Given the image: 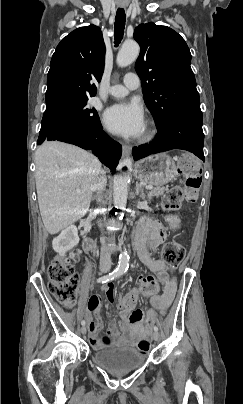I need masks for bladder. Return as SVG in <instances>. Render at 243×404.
I'll use <instances>...</instances> for the list:
<instances>
[{
    "mask_svg": "<svg viewBox=\"0 0 243 404\" xmlns=\"http://www.w3.org/2000/svg\"><path fill=\"white\" fill-rule=\"evenodd\" d=\"M94 360L104 370L121 374L142 367L146 363L147 357L134 347H119L96 351Z\"/></svg>",
    "mask_w": 243,
    "mask_h": 404,
    "instance_id": "1",
    "label": "bladder"
}]
</instances>
